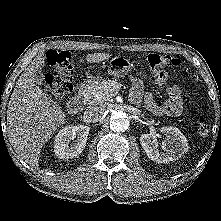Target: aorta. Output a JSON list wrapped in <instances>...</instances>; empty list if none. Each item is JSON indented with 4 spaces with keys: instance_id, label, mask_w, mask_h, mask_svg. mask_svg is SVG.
<instances>
[{
    "instance_id": "obj_1",
    "label": "aorta",
    "mask_w": 221,
    "mask_h": 221,
    "mask_svg": "<svg viewBox=\"0 0 221 221\" xmlns=\"http://www.w3.org/2000/svg\"><path fill=\"white\" fill-rule=\"evenodd\" d=\"M130 121L125 113L116 111L110 118V129L113 132H125L129 128Z\"/></svg>"
}]
</instances>
